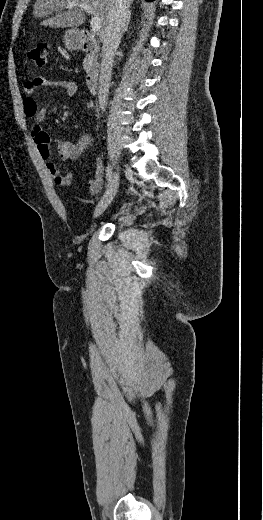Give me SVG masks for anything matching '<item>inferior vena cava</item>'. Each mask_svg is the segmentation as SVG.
<instances>
[{"mask_svg": "<svg viewBox=\"0 0 263 520\" xmlns=\"http://www.w3.org/2000/svg\"><path fill=\"white\" fill-rule=\"evenodd\" d=\"M129 6L130 0H113L110 21L103 37L102 60L98 87V101L103 112L106 110L107 106L113 60L126 26Z\"/></svg>", "mask_w": 263, "mask_h": 520, "instance_id": "602c4592", "label": "inferior vena cava"}]
</instances>
